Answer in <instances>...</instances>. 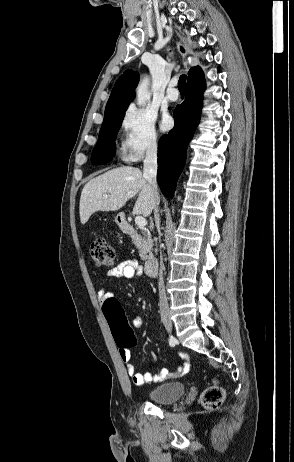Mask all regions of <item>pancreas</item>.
<instances>
[{
  "mask_svg": "<svg viewBox=\"0 0 294 462\" xmlns=\"http://www.w3.org/2000/svg\"><path fill=\"white\" fill-rule=\"evenodd\" d=\"M142 235L133 233L132 234V241L135 246L139 249V255L142 260H148L152 257V245L153 241L149 232L143 230L141 232Z\"/></svg>",
  "mask_w": 294,
  "mask_h": 462,
  "instance_id": "1",
  "label": "pancreas"
}]
</instances>
